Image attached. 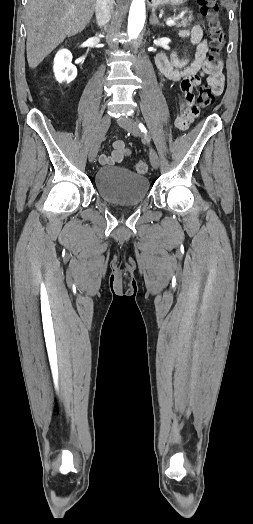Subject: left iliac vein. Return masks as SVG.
<instances>
[{
  "label": "left iliac vein",
  "instance_id": "obj_1",
  "mask_svg": "<svg viewBox=\"0 0 253 524\" xmlns=\"http://www.w3.org/2000/svg\"><path fill=\"white\" fill-rule=\"evenodd\" d=\"M117 123L123 129L130 132L134 136H139L141 134L136 122L130 117H127V116L121 117L117 120ZM149 157H150L151 165L155 169H157L159 167V157H158L157 152L153 148H150Z\"/></svg>",
  "mask_w": 253,
  "mask_h": 524
}]
</instances>
